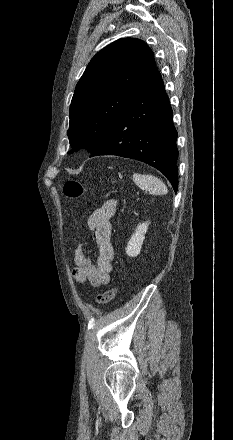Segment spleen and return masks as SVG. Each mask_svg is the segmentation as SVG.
Returning a JSON list of instances; mask_svg holds the SVG:
<instances>
[{
	"instance_id": "3e777b00",
	"label": "spleen",
	"mask_w": 233,
	"mask_h": 440,
	"mask_svg": "<svg viewBox=\"0 0 233 440\" xmlns=\"http://www.w3.org/2000/svg\"><path fill=\"white\" fill-rule=\"evenodd\" d=\"M133 181L140 189L149 191L153 195H165L168 193L166 185L153 175L134 173Z\"/></svg>"
}]
</instances>
